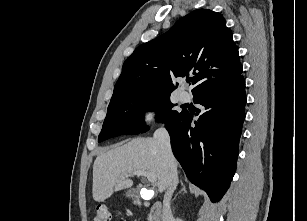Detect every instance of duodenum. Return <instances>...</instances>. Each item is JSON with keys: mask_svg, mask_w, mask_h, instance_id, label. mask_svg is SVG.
Listing matches in <instances>:
<instances>
[{"mask_svg": "<svg viewBox=\"0 0 307 221\" xmlns=\"http://www.w3.org/2000/svg\"><path fill=\"white\" fill-rule=\"evenodd\" d=\"M149 220L162 221V204L160 201L151 202Z\"/></svg>", "mask_w": 307, "mask_h": 221, "instance_id": "obj_1", "label": "duodenum"}]
</instances>
